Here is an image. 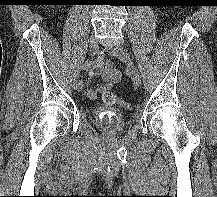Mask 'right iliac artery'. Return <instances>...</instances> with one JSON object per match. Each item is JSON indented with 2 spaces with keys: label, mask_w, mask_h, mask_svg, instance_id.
Masks as SVG:
<instances>
[{
  "label": "right iliac artery",
  "mask_w": 217,
  "mask_h": 197,
  "mask_svg": "<svg viewBox=\"0 0 217 197\" xmlns=\"http://www.w3.org/2000/svg\"><path fill=\"white\" fill-rule=\"evenodd\" d=\"M100 57H101V53H98V56L93 61L86 62L83 65V70L88 71V70L96 67L98 65V62L100 61Z\"/></svg>",
  "instance_id": "1"
}]
</instances>
